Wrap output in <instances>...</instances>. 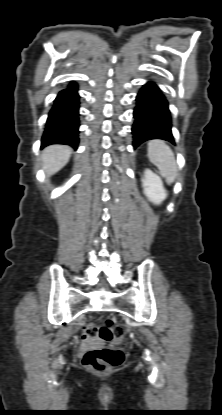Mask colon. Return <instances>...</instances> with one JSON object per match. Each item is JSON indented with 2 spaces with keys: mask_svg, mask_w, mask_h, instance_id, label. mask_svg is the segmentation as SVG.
<instances>
[{
  "mask_svg": "<svg viewBox=\"0 0 222 415\" xmlns=\"http://www.w3.org/2000/svg\"><path fill=\"white\" fill-rule=\"evenodd\" d=\"M122 336L123 329L110 318L101 324L86 325L82 334L86 341L100 339L109 342ZM124 359L125 354L120 348L95 347L84 353L82 363L94 372L104 373L120 366Z\"/></svg>",
  "mask_w": 222,
  "mask_h": 415,
  "instance_id": "obj_1",
  "label": "colon"
}]
</instances>
